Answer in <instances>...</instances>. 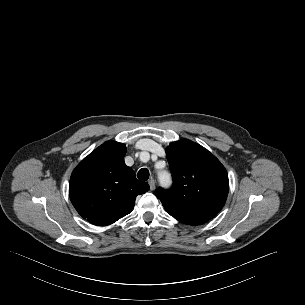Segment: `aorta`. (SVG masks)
Segmentation results:
<instances>
[{"mask_svg": "<svg viewBox=\"0 0 305 305\" xmlns=\"http://www.w3.org/2000/svg\"><path fill=\"white\" fill-rule=\"evenodd\" d=\"M169 179V175L167 173L160 174V180L162 182H166Z\"/></svg>", "mask_w": 305, "mask_h": 305, "instance_id": "762f6f07", "label": "aorta"}]
</instances>
